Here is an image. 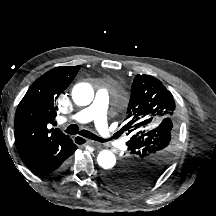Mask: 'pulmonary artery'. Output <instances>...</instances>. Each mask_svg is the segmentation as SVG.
<instances>
[{"mask_svg": "<svg viewBox=\"0 0 216 216\" xmlns=\"http://www.w3.org/2000/svg\"><path fill=\"white\" fill-rule=\"evenodd\" d=\"M109 103V92L101 88L96 92L93 103L83 108L71 117V120L79 123L94 121L102 139L109 144L117 145L118 142L112 139V132L109 128L107 108Z\"/></svg>", "mask_w": 216, "mask_h": 216, "instance_id": "1", "label": "pulmonary artery"}]
</instances>
